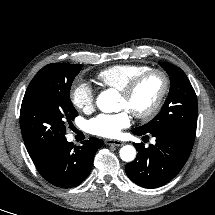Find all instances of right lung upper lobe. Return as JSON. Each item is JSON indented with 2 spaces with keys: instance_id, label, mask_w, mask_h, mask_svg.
<instances>
[{
  "instance_id": "right-lung-upper-lobe-1",
  "label": "right lung upper lobe",
  "mask_w": 215,
  "mask_h": 215,
  "mask_svg": "<svg viewBox=\"0 0 215 215\" xmlns=\"http://www.w3.org/2000/svg\"><path fill=\"white\" fill-rule=\"evenodd\" d=\"M40 156H41V155H38V156L32 157L31 159H32V161L34 162V161H36L37 159H39Z\"/></svg>"
}]
</instances>
